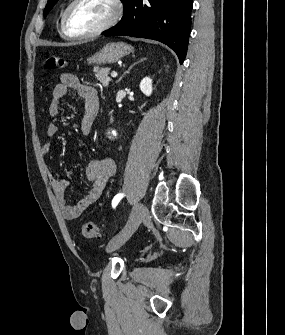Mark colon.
I'll return each instance as SVG.
<instances>
[{
	"mask_svg": "<svg viewBox=\"0 0 285 335\" xmlns=\"http://www.w3.org/2000/svg\"><path fill=\"white\" fill-rule=\"evenodd\" d=\"M66 61L64 58L57 55H50L44 62V68L47 70H59L64 68ZM81 231L84 237L93 239L99 236V228L93 222H85Z\"/></svg>",
	"mask_w": 285,
	"mask_h": 335,
	"instance_id": "5ec220e1",
	"label": "colon"
}]
</instances>
